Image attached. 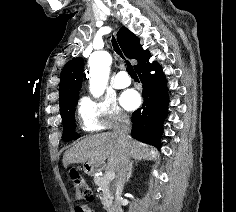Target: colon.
Masks as SVG:
<instances>
[{"label": "colon", "instance_id": "obj_1", "mask_svg": "<svg viewBox=\"0 0 236 212\" xmlns=\"http://www.w3.org/2000/svg\"><path fill=\"white\" fill-rule=\"evenodd\" d=\"M70 179L73 184L75 195L78 199L86 202L93 201V193L86 179L79 172L75 170L71 171Z\"/></svg>", "mask_w": 236, "mask_h": 212}]
</instances>
